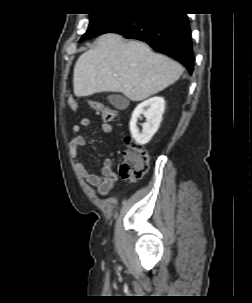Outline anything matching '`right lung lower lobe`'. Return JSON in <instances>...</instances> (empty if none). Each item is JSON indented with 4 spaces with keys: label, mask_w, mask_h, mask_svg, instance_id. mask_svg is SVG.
Returning a JSON list of instances; mask_svg holds the SVG:
<instances>
[{
    "label": "right lung lower lobe",
    "mask_w": 252,
    "mask_h": 303,
    "mask_svg": "<svg viewBox=\"0 0 252 303\" xmlns=\"http://www.w3.org/2000/svg\"><path fill=\"white\" fill-rule=\"evenodd\" d=\"M117 33L148 43L193 71L191 30L187 15L148 7L131 9L120 15L101 34Z\"/></svg>",
    "instance_id": "right-lung-lower-lobe-1"
}]
</instances>
